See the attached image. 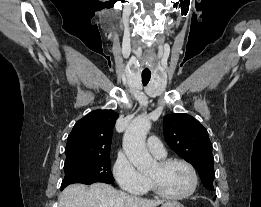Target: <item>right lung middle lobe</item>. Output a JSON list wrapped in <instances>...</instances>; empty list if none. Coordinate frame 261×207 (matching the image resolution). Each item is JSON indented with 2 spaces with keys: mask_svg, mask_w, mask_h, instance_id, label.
Instances as JSON below:
<instances>
[{
  "mask_svg": "<svg viewBox=\"0 0 261 207\" xmlns=\"http://www.w3.org/2000/svg\"><path fill=\"white\" fill-rule=\"evenodd\" d=\"M65 177L61 190L72 183L91 184L94 182L113 183L110 156L67 161L64 164Z\"/></svg>",
  "mask_w": 261,
  "mask_h": 207,
  "instance_id": "dd1d6c3e",
  "label": "right lung middle lobe"
}]
</instances>
